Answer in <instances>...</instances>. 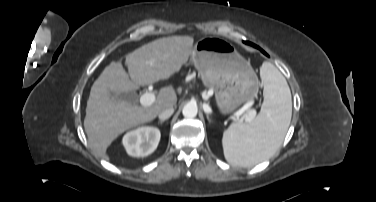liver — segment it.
Segmentation results:
<instances>
[{
    "instance_id": "obj_1",
    "label": "liver",
    "mask_w": 376,
    "mask_h": 202,
    "mask_svg": "<svg viewBox=\"0 0 376 202\" xmlns=\"http://www.w3.org/2000/svg\"><path fill=\"white\" fill-rule=\"evenodd\" d=\"M193 42L191 36H171L145 44L126 55L129 74L120 61L105 67L91 87L84 119L89 144L98 156L109 160L107 148L121 133L152 121L177 102L172 86L161 88L154 103L143 107L117 101L109 92H134L140 86L170 78L187 62Z\"/></svg>"
}]
</instances>
